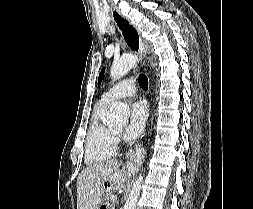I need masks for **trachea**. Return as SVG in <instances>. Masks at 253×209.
Listing matches in <instances>:
<instances>
[{
    "label": "trachea",
    "instance_id": "trachea-1",
    "mask_svg": "<svg viewBox=\"0 0 253 209\" xmlns=\"http://www.w3.org/2000/svg\"><path fill=\"white\" fill-rule=\"evenodd\" d=\"M120 29L122 30V32L124 33L126 30V27H124V25L120 26ZM138 82H139V86L142 89H148V78L144 75V74H140L138 77Z\"/></svg>",
    "mask_w": 253,
    "mask_h": 209
}]
</instances>
